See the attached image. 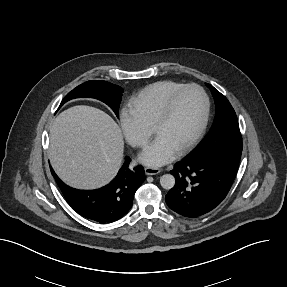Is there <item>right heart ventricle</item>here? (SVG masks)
<instances>
[{"mask_svg": "<svg viewBox=\"0 0 287 287\" xmlns=\"http://www.w3.org/2000/svg\"><path fill=\"white\" fill-rule=\"evenodd\" d=\"M181 86L182 83L172 80L155 82L132 97L128 107L151 128L169 95Z\"/></svg>", "mask_w": 287, "mask_h": 287, "instance_id": "1", "label": "right heart ventricle"}]
</instances>
